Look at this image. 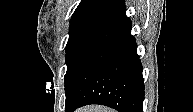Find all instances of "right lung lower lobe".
<instances>
[{
	"mask_svg": "<svg viewBox=\"0 0 193 112\" xmlns=\"http://www.w3.org/2000/svg\"><path fill=\"white\" fill-rule=\"evenodd\" d=\"M131 24L117 32L86 63L65 101V112L101 104L119 112H142V65Z\"/></svg>",
	"mask_w": 193,
	"mask_h": 112,
	"instance_id": "1",
	"label": "right lung lower lobe"
}]
</instances>
